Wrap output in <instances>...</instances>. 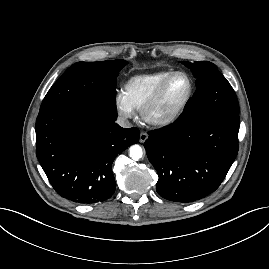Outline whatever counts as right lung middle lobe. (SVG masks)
<instances>
[{"label":"right lung middle lobe","mask_w":269,"mask_h":269,"mask_svg":"<svg viewBox=\"0 0 269 269\" xmlns=\"http://www.w3.org/2000/svg\"><path fill=\"white\" fill-rule=\"evenodd\" d=\"M127 63L118 59L72 65L50 88L40 110L68 104L116 119V81L119 71Z\"/></svg>","instance_id":"1"}]
</instances>
